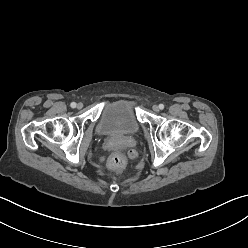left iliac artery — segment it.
<instances>
[{
    "label": "left iliac artery",
    "instance_id": "left-iliac-artery-1",
    "mask_svg": "<svg viewBox=\"0 0 248 248\" xmlns=\"http://www.w3.org/2000/svg\"><path fill=\"white\" fill-rule=\"evenodd\" d=\"M159 108H160L161 110H163V109H164V105H163V104H160V105H159Z\"/></svg>",
    "mask_w": 248,
    "mask_h": 248
}]
</instances>
